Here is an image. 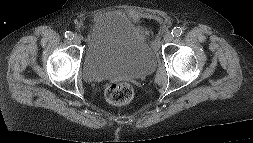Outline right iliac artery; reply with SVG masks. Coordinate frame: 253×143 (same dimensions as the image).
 I'll use <instances>...</instances> for the list:
<instances>
[{
	"mask_svg": "<svg viewBox=\"0 0 253 143\" xmlns=\"http://www.w3.org/2000/svg\"><path fill=\"white\" fill-rule=\"evenodd\" d=\"M65 37H66L67 39H72V38H73L72 32L66 31V32H65Z\"/></svg>",
	"mask_w": 253,
	"mask_h": 143,
	"instance_id": "obj_1",
	"label": "right iliac artery"
}]
</instances>
